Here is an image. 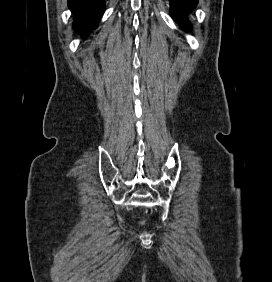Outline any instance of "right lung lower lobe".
<instances>
[{"instance_id": "98d812e1", "label": "right lung lower lobe", "mask_w": 272, "mask_h": 282, "mask_svg": "<svg viewBox=\"0 0 272 282\" xmlns=\"http://www.w3.org/2000/svg\"><path fill=\"white\" fill-rule=\"evenodd\" d=\"M68 5L75 14L74 28L84 38L96 28L105 10L104 0H68Z\"/></svg>"}]
</instances>
